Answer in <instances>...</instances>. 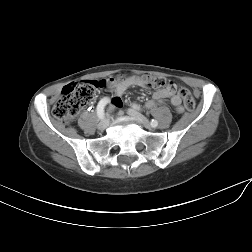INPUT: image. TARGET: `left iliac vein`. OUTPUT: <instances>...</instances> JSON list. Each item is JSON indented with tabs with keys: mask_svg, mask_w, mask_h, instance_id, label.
Wrapping results in <instances>:
<instances>
[{
	"mask_svg": "<svg viewBox=\"0 0 252 252\" xmlns=\"http://www.w3.org/2000/svg\"><path fill=\"white\" fill-rule=\"evenodd\" d=\"M127 114L130 115L131 117H133L139 124H141L147 128L150 127V124H149V121L147 120V118H145L142 114H140L136 110L128 109Z\"/></svg>",
	"mask_w": 252,
	"mask_h": 252,
	"instance_id": "obj_1",
	"label": "left iliac vein"
}]
</instances>
